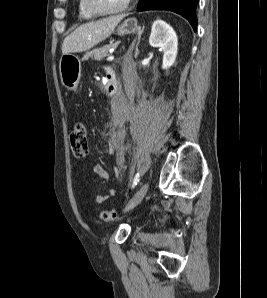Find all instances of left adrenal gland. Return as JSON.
I'll return each instance as SVG.
<instances>
[{"label":"left adrenal gland","mask_w":267,"mask_h":298,"mask_svg":"<svg viewBox=\"0 0 267 298\" xmlns=\"http://www.w3.org/2000/svg\"><path fill=\"white\" fill-rule=\"evenodd\" d=\"M142 33H143V29L138 31V38H137V39H134V41L132 42V44H131V46H130L128 52H127V56L131 57V55H132V51H133V49H134V47H135V58L138 57V55H139L138 45H139V43H140ZM136 41H137V42H136ZM135 44H136V45H135Z\"/></svg>","instance_id":"1"}]
</instances>
